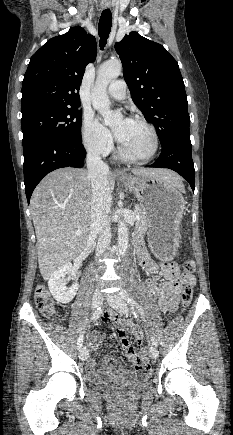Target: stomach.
Here are the masks:
<instances>
[{
    "mask_svg": "<svg viewBox=\"0 0 233 435\" xmlns=\"http://www.w3.org/2000/svg\"><path fill=\"white\" fill-rule=\"evenodd\" d=\"M140 201L148 222V239L155 254L165 260L175 256L185 201L178 188L158 177L130 175L121 178Z\"/></svg>",
    "mask_w": 233,
    "mask_h": 435,
    "instance_id": "stomach-1",
    "label": "stomach"
}]
</instances>
